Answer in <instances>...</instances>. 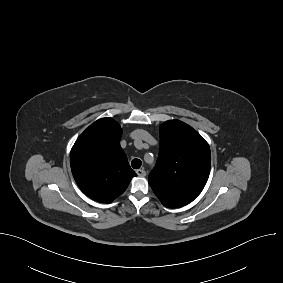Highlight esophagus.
<instances>
[{"mask_svg":"<svg viewBox=\"0 0 283 283\" xmlns=\"http://www.w3.org/2000/svg\"><path fill=\"white\" fill-rule=\"evenodd\" d=\"M136 173H137V175L140 176V177H144V176L146 175V172H145V170H143V169H138V170H136Z\"/></svg>","mask_w":283,"mask_h":283,"instance_id":"esophagus-1","label":"esophagus"}]
</instances>
